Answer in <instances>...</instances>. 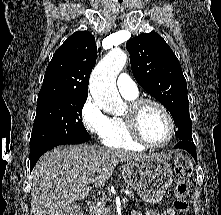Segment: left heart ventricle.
<instances>
[{
  "mask_svg": "<svg viewBox=\"0 0 221 215\" xmlns=\"http://www.w3.org/2000/svg\"><path fill=\"white\" fill-rule=\"evenodd\" d=\"M140 129L152 144H162L169 134V122L164 113L153 104H146L140 112Z\"/></svg>",
  "mask_w": 221,
  "mask_h": 215,
  "instance_id": "b2bd125f",
  "label": "left heart ventricle"
}]
</instances>
